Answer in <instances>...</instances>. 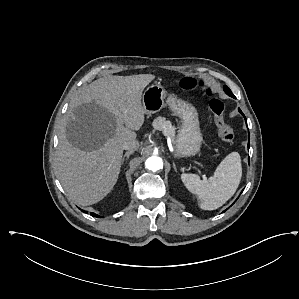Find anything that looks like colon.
Instances as JSON below:
<instances>
[{
    "label": "colon",
    "instance_id": "obj_1",
    "mask_svg": "<svg viewBox=\"0 0 299 299\" xmlns=\"http://www.w3.org/2000/svg\"><path fill=\"white\" fill-rule=\"evenodd\" d=\"M179 85L183 90H192L198 86L203 87L204 83L195 78L186 77L180 81ZM205 92L209 97H211L209 107L214 116L215 127L219 139L226 143L232 142L234 139V131L225 121L224 103L219 98L215 97L211 88H206Z\"/></svg>",
    "mask_w": 299,
    "mask_h": 299
}]
</instances>
